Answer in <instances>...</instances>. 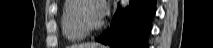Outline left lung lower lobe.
<instances>
[{"instance_id": "1", "label": "left lung lower lobe", "mask_w": 213, "mask_h": 48, "mask_svg": "<svg viewBox=\"0 0 213 48\" xmlns=\"http://www.w3.org/2000/svg\"><path fill=\"white\" fill-rule=\"evenodd\" d=\"M155 3L156 0H131L127 8L117 10L110 29L96 40L111 48H148Z\"/></svg>"}]
</instances>
